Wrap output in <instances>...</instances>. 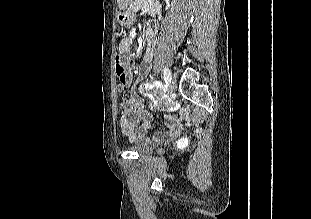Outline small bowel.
Here are the masks:
<instances>
[{
  "instance_id": "obj_1",
  "label": "small bowel",
  "mask_w": 311,
  "mask_h": 219,
  "mask_svg": "<svg viewBox=\"0 0 311 219\" xmlns=\"http://www.w3.org/2000/svg\"><path fill=\"white\" fill-rule=\"evenodd\" d=\"M154 48L153 40L149 41L148 49L144 58V64L140 69L137 80L134 85L133 73L128 71L126 73L127 86L132 87L129 97L125 100L123 105V112L121 114L120 125L122 133L127 136L131 141H141L145 143H153L160 140L175 137L180 132V127L176 123V119L173 116H165L167 129L165 131L148 136V131L152 124V113L148 111L143 103L139 91H142V84L144 83L148 73V62L152 57ZM120 54L128 55L131 51V40L123 39L118 46ZM153 101H158L160 98L159 93L156 90V85H148V91L146 93Z\"/></svg>"
}]
</instances>
